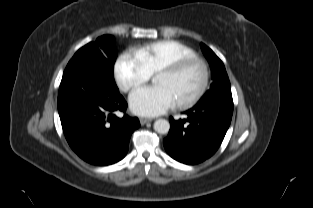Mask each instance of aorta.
I'll return each instance as SVG.
<instances>
[{
    "instance_id": "762f6f07",
    "label": "aorta",
    "mask_w": 313,
    "mask_h": 208,
    "mask_svg": "<svg viewBox=\"0 0 313 208\" xmlns=\"http://www.w3.org/2000/svg\"><path fill=\"white\" fill-rule=\"evenodd\" d=\"M154 130L159 134H166L169 132L170 123L165 119H158L154 122Z\"/></svg>"
}]
</instances>
